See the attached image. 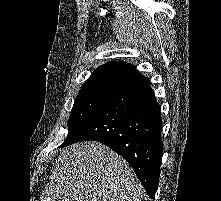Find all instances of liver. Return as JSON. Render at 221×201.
<instances>
[{"mask_svg": "<svg viewBox=\"0 0 221 201\" xmlns=\"http://www.w3.org/2000/svg\"><path fill=\"white\" fill-rule=\"evenodd\" d=\"M141 197V185L126 160L91 141L61 151L43 201H141Z\"/></svg>", "mask_w": 221, "mask_h": 201, "instance_id": "1", "label": "liver"}]
</instances>
